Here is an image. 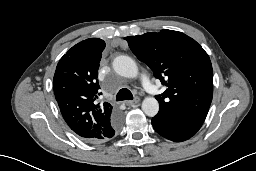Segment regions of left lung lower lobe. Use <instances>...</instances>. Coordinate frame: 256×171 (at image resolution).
Masks as SVG:
<instances>
[{
  "instance_id": "obj_1",
  "label": "left lung lower lobe",
  "mask_w": 256,
  "mask_h": 171,
  "mask_svg": "<svg viewBox=\"0 0 256 171\" xmlns=\"http://www.w3.org/2000/svg\"><path fill=\"white\" fill-rule=\"evenodd\" d=\"M152 125L158 134L175 142L185 141L197 132L188 128L178 115L165 111L152 118Z\"/></svg>"
}]
</instances>
